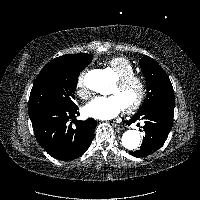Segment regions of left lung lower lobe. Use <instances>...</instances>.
<instances>
[{
	"label": "left lung lower lobe",
	"mask_w": 200,
	"mask_h": 200,
	"mask_svg": "<svg viewBox=\"0 0 200 200\" xmlns=\"http://www.w3.org/2000/svg\"><path fill=\"white\" fill-rule=\"evenodd\" d=\"M174 107L152 105L135 114L128 122L144 120L145 137L140 149L130 152L135 157H145L160 149L173 126Z\"/></svg>",
	"instance_id": "left-lung-lower-lobe-1"
}]
</instances>
